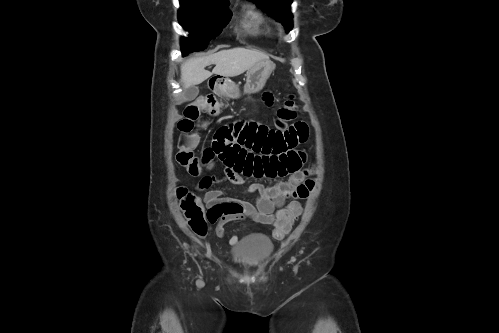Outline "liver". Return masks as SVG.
Returning <instances> with one entry per match:
<instances>
[{"label": "liver", "mask_w": 499, "mask_h": 333, "mask_svg": "<svg viewBox=\"0 0 499 333\" xmlns=\"http://www.w3.org/2000/svg\"><path fill=\"white\" fill-rule=\"evenodd\" d=\"M269 60V56L261 51L241 47L221 50L209 56L191 58L181 66V82L183 88L198 85L216 74L224 77H235L251 69L256 63ZM215 64L212 72L205 67Z\"/></svg>", "instance_id": "1"}]
</instances>
